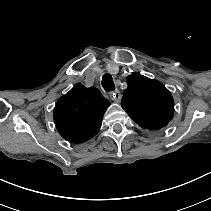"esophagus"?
Segmentation results:
<instances>
[{
  "instance_id": "34e87169",
  "label": "esophagus",
  "mask_w": 211,
  "mask_h": 211,
  "mask_svg": "<svg viewBox=\"0 0 211 211\" xmlns=\"http://www.w3.org/2000/svg\"><path fill=\"white\" fill-rule=\"evenodd\" d=\"M110 97L113 101L119 103L121 101L122 95L118 89H116L113 93L110 94Z\"/></svg>"
}]
</instances>
